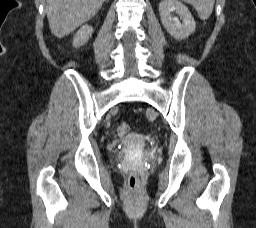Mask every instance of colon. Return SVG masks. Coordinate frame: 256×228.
<instances>
[{"mask_svg":"<svg viewBox=\"0 0 256 228\" xmlns=\"http://www.w3.org/2000/svg\"><path fill=\"white\" fill-rule=\"evenodd\" d=\"M130 126L125 122H120L116 126V132L120 136L128 134ZM140 180L136 173H131L128 179V185L131 189H136L139 186Z\"/></svg>","mask_w":256,"mask_h":228,"instance_id":"1","label":"colon"}]
</instances>
